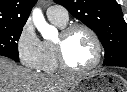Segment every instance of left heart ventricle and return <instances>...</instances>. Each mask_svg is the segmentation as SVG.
<instances>
[{
  "instance_id": "obj_1",
  "label": "left heart ventricle",
  "mask_w": 127,
  "mask_h": 92,
  "mask_svg": "<svg viewBox=\"0 0 127 92\" xmlns=\"http://www.w3.org/2000/svg\"><path fill=\"white\" fill-rule=\"evenodd\" d=\"M68 63L74 68H85L90 65L96 55L95 45L90 35L84 30L73 32L65 45Z\"/></svg>"
}]
</instances>
